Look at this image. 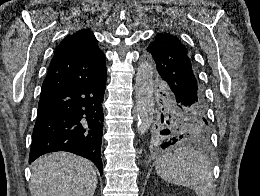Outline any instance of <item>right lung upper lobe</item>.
<instances>
[{
  "label": "right lung upper lobe",
  "instance_id": "1",
  "mask_svg": "<svg viewBox=\"0 0 260 196\" xmlns=\"http://www.w3.org/2000/svg\"><path fill=\"white\" fill-rule=\"evenodd\" d=\"M105 75V55L98 48L92 31L78 30L56 47L42 84L41 97Z\"/></svg>",
  "mask_w": 260,
  "mask_h": 196
}]
</instances>
